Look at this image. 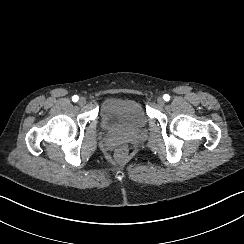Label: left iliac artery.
<instances>
[{
  "label": "left iliac artery",
  "instance_id": "obj_1",
  "mask_svg": "<svg viewBox=\"0 0 244 244\" xmlns=\"http://www.w3.org/2000/svg\"><path fill=\"white\" fill-rule=\"evenodd\" d=\"M163 98H164L165 101H169L170 100V96L168 94H165L163 96Z\"/></svg>",
  "mask_w": 244,
  "mask_h": 244
}]
</instances>
